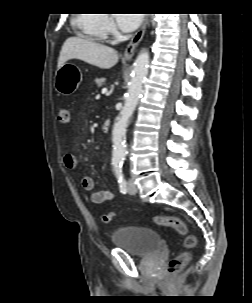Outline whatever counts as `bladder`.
I'll list each match as a JSON object with an SVG mask.
<instances>
[{"label":"bladder","mask_w":252,"mask_h":303,"mask_svg":"<svg viewBox=\"0 0 252 303\" xmlns=\"http://www.w3.org/2000/svg\"><path fill=\"white\" fill-rule=\"evenodd\" d=\"M111 241L117 248L136 257H148L159 252L162 246V239L155 230L139 226H127L115 230Z\"/></svg>","instance_id":"obj_1"}]
</instances>
